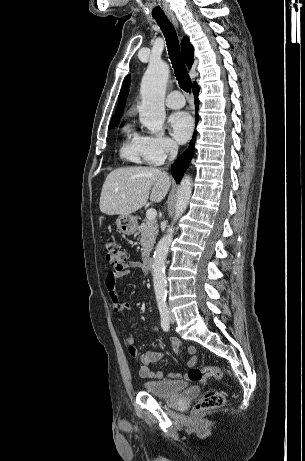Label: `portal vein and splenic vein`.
<instances>
[{
	"mask_svg": "<svg viewBox=\"0 0 305 461\" xmlns=\"http://www.w3.org/2000/svg\"><path fill=\"white\" fill-rule=\"evenodd\" d=\"M157 212L155 209H148L146 212V218L148 220H154L156 218Z\"/></svg>",
	"mask_w": 305,
	"mask_h": 461,
	"instance_id": "1",
	"label": "portal vein and splenic vein"
}]
</instances>
